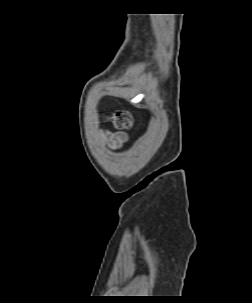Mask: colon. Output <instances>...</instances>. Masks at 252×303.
<instances>
[{"label": "colon", "instance_id": "obj_1", "mask_svg": "<svg viewBox=\"0 0 252 303\" xmlns=\"http://www.w3.org/2000/svg\"><path fill=\"white\" fill-rule=\"evenodd\" d=\"M108 121L121 129H131L134 126L132 116L126 112H115Z\"/></svg>", "mask_w": 252, "mask_h": 303}]
</instances>
